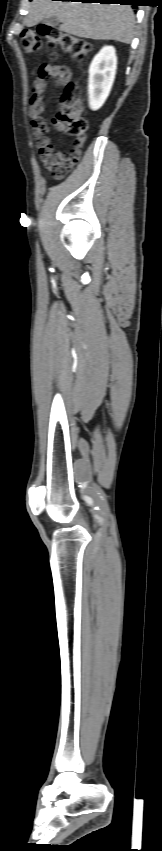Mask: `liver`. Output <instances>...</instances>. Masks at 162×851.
<instances>
[{
  "mask_svg": "<svg viewBox=\"0 0 162 851\" xmlns=\"http://www.w3.org/2000/svg\"><path fill=\"white\" fill-rule=\"evenodd\" d=\"M53 16L62 23L61 31L81 38L129 44L134 37L129 5L33 0L25 24L32 27Z\"/></svg>",
  "mask_w": 162,
  "mask_h": 851,
  "instance_id": "obj_1",
  "label": "liver"
}]
</instances>
